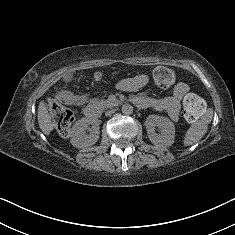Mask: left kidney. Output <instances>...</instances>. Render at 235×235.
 Segmentation results:
<instances>
[{"mask_svg":"<svg viewBox=\"0 0 235 235\" xmlns=\"http://www.w3.org/2000/svg\"><path fill=\"white\" fill-rule=\"evenodd\" d=\"M145 126L148 138L155 146L167 148L174 143L175 125L169 118L152 114L146 118ZM156 127L160 128V133H156Z\"/></svg>","mask_w":235,"mask_h":235,"instance_id":"1","label":"left kidney"}]
</instances>
